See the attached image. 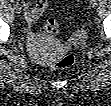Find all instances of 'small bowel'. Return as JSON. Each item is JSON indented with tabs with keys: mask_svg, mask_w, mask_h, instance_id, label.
<instances>
[{
	"mask_svg": "<svg viewBox=\"0 0 111 106\" xmlns=\"http://www.w3.org/2000/svg\"><path fill=\"white\" fill-rule=\"evenodd\" d=\"M24 7L27 22L30 26H32L46 10V2L44 0H26L24 1ZM28 33L32 39L35 38V35L31 29L28 30Z\"/></svg>",
	"mask_w": 111,
	"mask_h": 106,
	"instance_id": "obj_1",
	"label": "small bowel"
}]
</instances>
